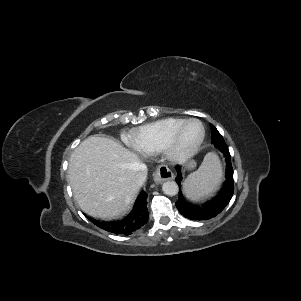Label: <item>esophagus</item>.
<instances>
[{
    "label": "esophagus",
    "mask_w": 301,
    "mask_h": 301,
    "mask_svg": "<svg viewBox=\"0 0 301 301\" xmlns=\"http://www.w3.org/2000/svg\"><path fill=\"white\" fill-rule=\"evenodd\" d=\"M153 177L155 183L160 184L166 180L173 179L174 174L167 165H160L154 172Z\"/></svg>",
    "instance_id": "1"
}]
</instances>
